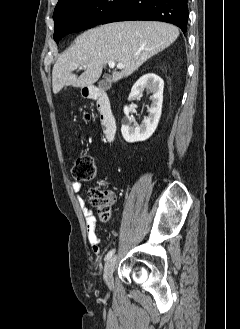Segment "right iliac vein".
Returning a JSON list of instances; mask_svg holds the SVG:
<instances>
[{"label":"right iliac vein","instance_id":"right-iliac-vein-1","mask_svg":"<svg viewBox=\"0 0 240 329\" xmlns=\"http://www.w3.org/2000/svg\"><path fill=\"white\" fill-rule=\"evenodd\" d=\"M116 264V257H112L107 260L105 267H104V280L108 287L113 286V272L115 269Z\"/></svg>","mask_w":240,"mask_h":329}]
</instances>
